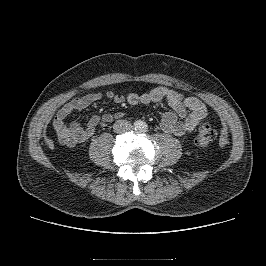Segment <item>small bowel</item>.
<instances>
[{"label": "small bowel", "mask_w": 266, "mask_h": 266, "mask_svg": "<svg viewBox=\"0 0 266 266\" xmlns=\"http://www.w3.org/2000/svg\"><path fill=\"white\" fill-rule=\"evenodd\" d=\"M105 95L107 99L116 104L128 102L134 105H147L165 101L171 110L163 113L160 127L165 133L178 137L191 133L208 116L206 106L198 98L185 97L164 86L156 87L142 94L128 93L124 95L109 90ZM102 98L103 95L100 92L92 91L82 97L70 100L57 112L53 120V129L61 144L70 148L80 145L95 135L99 125H106L123 117L122 112H115L92 115L85 126H81L79 123L69 125L66 123L71 114L100 102Z\"/></svg>", "instance_id": "1"}]
</instances>
